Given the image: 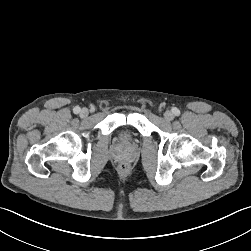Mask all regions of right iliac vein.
I'll use <instances>...</instances> for the list:
<instances>
[{"label":"right iliac vein","mask_w":251,"mask_h":251,"mask_svg":"<svg viewBox=\"0 0 251 251\" xmlns=\"http://www.w3.org/2000/svg\"><path fill=\"white\" fill-rule=\"evenodd\" d=\"M88 114H89V111H88L87 108L81 109V111H80V116H81V117H87Z\"/></svg>","instance_id":"obj_1"}]
</instances>
